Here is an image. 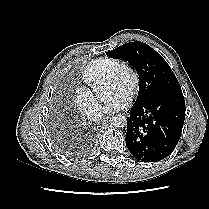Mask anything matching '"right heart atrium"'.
Here are the masks:
<instances>
[{"mask_svg": "<svg viewBox=\"0 0 209 209\" xmlns=\"http://www.w3.org/2000/svg\"><path fill=\"white\" fill-rule=\"evenodd\" d=\"M75 106L88 118L98 119L101 116V106L93 92L86 87H79L74 91Z\"/></svg>", "mask_w": 209, "mask_h": 209, "instance_id": "d8ad5b80", "label": "right heart atrium"}]
</instances>
